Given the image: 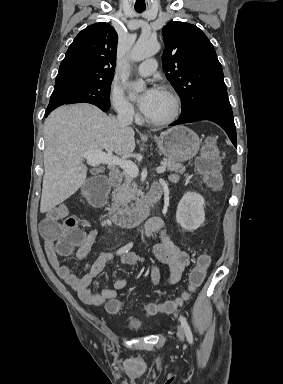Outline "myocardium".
<instances>
[{"mask_svg": "<svg viewBox=\"0 0 283 384\" xmlns=\"http://www.w3.org/2000/svg\"><path fill=\"white\" fill-rule=\"evenodd\" d=\"M162 91L167 95V97L170 100L171 111H170V114L163 119L150 120V119H147L146 117H143V120L145 121V123L151 126H156V127L167 126L173 123L178 118L180 113V100L177 94L169 87H163Z\"/></svg>", "mask_w": 283, "mask_h": 384, "instance_id": "1", "label": "myocardium"}]
</instances>
